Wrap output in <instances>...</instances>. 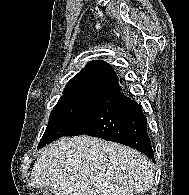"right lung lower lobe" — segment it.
<instances>
[{"instance_id":"1","label":"right lung lower lobe","mask_w":189,"mask_h":195,"mask_svg":"<svg viewBox=\"0 0 189 195\" xmlns=\"http://www.w3.org/2000/svg\"><path fill=\"white\" fill-rule=\"evenodd\" d=\"M89 135L118 142L154 160L147 119L136 101L121 90L109 95L94 112L66 136Z\"/></svg>"}]
</instances>
